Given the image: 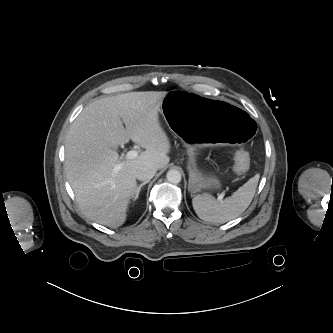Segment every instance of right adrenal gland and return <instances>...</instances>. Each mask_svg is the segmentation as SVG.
Returning a JSON list of instances; mask_svg holds the SVG:
<instances>
[{"label": "right adrenal gland", "mask_w": 333, "mask_h": 333, "mask_svg": "<svg viewBox=\"0 0 333 333\" xmlns=\"http://www.w3.org/2000/svg\"><path fill=\"white\" fill-rule=\"evenodd\" d=\"M148 182H149V181H145V182L141 183L139 186H137V188L134 190V192H133V194H132V199H133V200H136V199L138 198L139 193H140V191H141V188H142L145 184H147Z\"/></svg>", "instance_id": "1"}]
</instances>
